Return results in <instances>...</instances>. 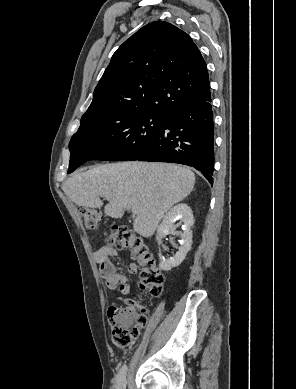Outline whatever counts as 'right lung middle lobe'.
Instances as JSON below:
<instances>
[{"mask_svg":"<svg viewBox=\"0 0 296 389\" xmlns=\"http://www.w3.org/2000/svg\"><path fill=\"white\" fill-rule=\"evenodd\" d=\"M166 117L120 108L82 118L69 143L68 173L88 160H136L163 127Z\"/></svg>","mask_w":296,"mask_h":389,"instance_id":"right-lung-middle-lobe-1","label":"right lung middle lobe"}]
</instances>
